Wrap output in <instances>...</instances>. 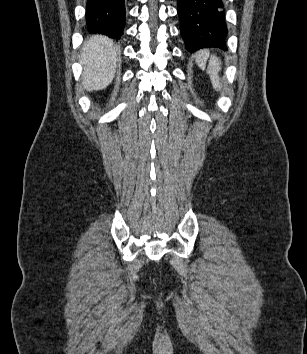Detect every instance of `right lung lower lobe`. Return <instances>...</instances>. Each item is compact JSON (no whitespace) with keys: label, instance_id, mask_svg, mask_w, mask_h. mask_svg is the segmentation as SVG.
Here are the masks:
<instances>
[{"label":"right lung lower lobe","instance_id":"98d812e1","mask_svg":"<svg viewBox=\"0 0 307 354\" xmlns=\"http://www.w3.org/2000/svg\"><path fill=\"white\" fill-rule=\"evenodd\" d=\"M86 25L91 33L118 40L125 26V0H88Z\"/></svg>","mask_w":307,"mask_h":354}]
</instances>
